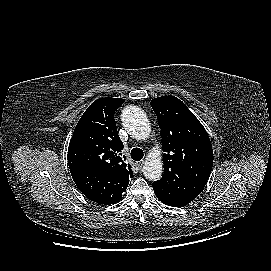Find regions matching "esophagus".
Instances as JSON below:
<instances>
[{
	"label": "esophagus",
	"mask_w": 271,
	"mask_h": 271,
	"mask_svg": "<svg viewBox=\"0 0 271 271\" xmlns=\"http://www.w3.org/2000/svg\"><path fill=\"white\" fill-rule=\"evenodd\" d=\"M144 162H145L144 160H141V161L138 162L137 165H138V168H139V169H141V168L143 167Z\"/></svg>",
	"instance_id": "34e87169"
}]
</instances>
